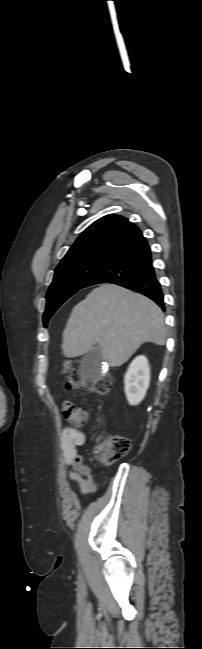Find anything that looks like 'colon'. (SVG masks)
Instances as JSON below:
<instances>
[{"label":"colon","instance_id":"colon-1","mask_svg":"<svg viewBox=\"0 0 202 649\" xmlns=\"http://www.w3.org/2000/svg\"><path fill=\"white\" fill-rule=\"evenodd\" d=\"M111 377L104 375L98 378H88L78 370H73L67 377L66 386L70 390H87L99 395H107L111 390ZM62 411L65 418L72 421L77 427H82L87 421V412L77 408L71 400L62 402ZM130 449L128 438L120 435L102 436L94 447V455L102 464L108 466L124 457Z\"/></svg>","mask_w":202,"mask_h":649}]
</instances>
